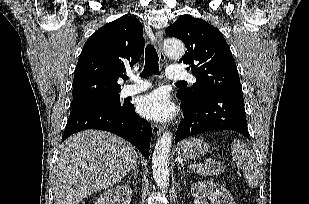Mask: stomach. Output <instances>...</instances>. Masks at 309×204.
<instances>
[{"label": "stomach", "instance_id": "0dacf381", "mask_svg": "<svg viewBox=\"0 0 309 204\" xmlns=\"http://www.w3.org/2000/svg\"><path fill=\"white\" fill-rule=\"evenodd\" d=\"M209 145L200 138H187L177 145L178 156L185 159H197L204 156Z\"/></svg>", "mask_w": 309, "mask_h": 204}]
</instances>
